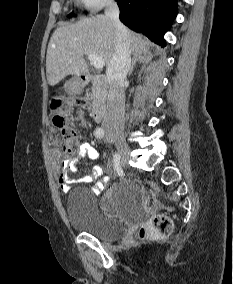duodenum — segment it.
<instances>
[{"label":"duodenum","instance_id":"1","mask_svg":"<svg viewBox=\"0 0 233 284\" xmlns=\"http://www.w3.org/2000/svg\"><path fill=\"white\" fill-rule=\"evenodd\" d=\"M91 82L95 89V103L90 114L95 122H100L105 116L109 100V85L104 75H90L83 73L79 77V84L85 85Z\"/></svg>","mask_w":233,"mask_h":284}]
</instances>
